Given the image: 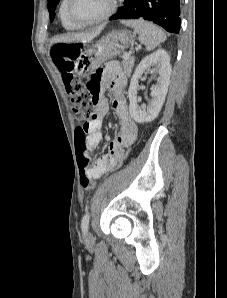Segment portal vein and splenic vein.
<instances>
[{
    "label": "portal vein and splenic vein",
    "mask_w": 227,
    "mask_h": 298,
    "mask_svg": "<svg viewBox=\"0 0 227 298\" xmlns=\"http://www.w3.org/2000/svg\"><path fill=\"white\" fill-rule=\"evenodd\" d=\"M130 55H131V53L129 52V53H124V58H129L130 57Z\"/></svg>",
    "instance_id": "obj_1"
}]
</instances>
